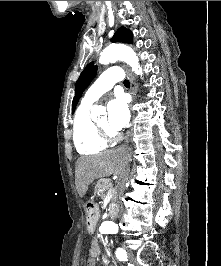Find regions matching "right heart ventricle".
Returning a JSON list of instances; mask_svg holds the SVG:
<instances>
[{"instance_id": "e07e8e85", "label": "right heart ventricle", "mask_w": 221, "mask_h": 266, "mask_svg": "<svg viewBox=\"0 0 221 266\" xmlns=\"http://www.w3.org/2000/svg\"><path fill=\"white\" fill-rule=\"evenodd\" d=\"M89 107L83 104L77 109L73 122V141L76 150L82 155H96L107 147L96 124L92 121Z\"/></svg>"}]
</instances>
